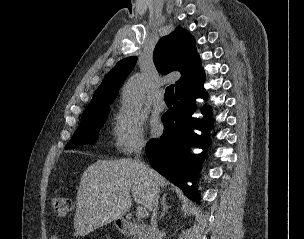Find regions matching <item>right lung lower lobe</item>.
I'll list each match as a JSON object with an SVG mask.
<instances>
[{
    "label": "right lung lower lobe",
    "instance_id": "obj_1",
    "mask_svg": "<svg viewBox=\"0 0 304 239\" xmlns=\"http://www.w3.org/2000/svg\"><path fill=\"white\" fill-rule=\"evenodd\" d=\"M204 81L205 74H202L176 90L173 107L162 117L163 135L160 139H151L145 149L151 166L196 201L199 197L194 186L187 185V180L197 174L194 161L201 164L205 156L203 153L189 155L188 148L192 144L205 148L209 143L208 130L212 125L210 109H202V113L207 115L202 120L191 116L196 107L195 100L207 98ZM193 129L201 130L202 135L195 134Z\"/></svg>",
    "mask_w": 304,
    "mask_h": 239
}]
</instances>
